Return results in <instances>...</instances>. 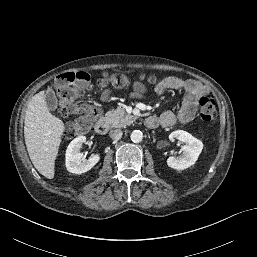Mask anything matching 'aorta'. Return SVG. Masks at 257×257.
<instances>
[{
	"label": "aorta",
	"mask_w": 257,
	"mask_h": 257,
	"mask_svg": "<svg viewBox=\"0 0 257 257\" xmlns=\"http://www.w3.org/2000/svg\"><path fill=\"white\" fill-rule=\"evenodd\" d=\"M131 141L134 143H140L143 139V133L140 130H134L130 135Z\"/></svg>",
	"instance_id": "aorta-1"
}]
</instances>
